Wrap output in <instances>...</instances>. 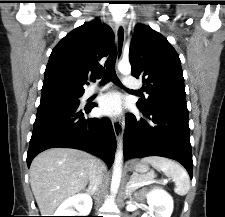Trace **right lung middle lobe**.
Returning a JSON list of instances; mask_svg holds the SVG:
<instances>
[{
    "instance_id": "right-lung-middle-lobe-1",
    "label": "right lung middle lobe",
    "mask_w": 225,
    "mask_h": 217,
    "mask_svg": "<svg viewBox=\"0 0 225 217\" xmlns=\"http://www.w3.org/2000/svg\"><path fill=\"white\" fill-rule=\"evenodd\" d=\"M83 95V93H51L46 95H41V103H69V104H80L79 98Z\"/></svg>"
}]
</instances>
